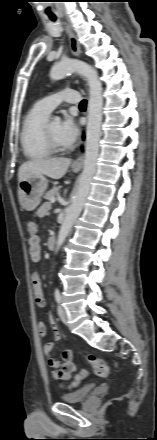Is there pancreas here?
I'll return each instance as SVG.
<instances>
[{
  "label": "pancreas",
  "instance_id": "pancreas-1",
  "mask_svg": "<svg viewBox=\"0 0 157 440\" xmlns=\"http://www.w3.org/2000/svg\"><path fill=\"white\" fill-rule=\"evenodd\" d=\"M58 191H59V187H54L53 189H51L50 191H48V192L44 195V198H45L46 200H50L51 198H53V197L56 196V194L58 193Z\"/></svg>",
  "mask_w": 157,
  "mask_h": 440
}]
</instances>
